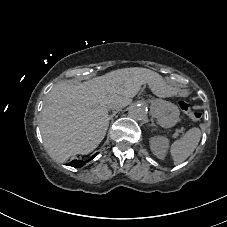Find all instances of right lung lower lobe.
I'll list each match as a JSON object with an SVG mask.
<instances>
[{
    "instance_id": "obj_1",
    "label": "right lung lower lobe",
    "mask_w": 227,
    "mask_h": 227,
    "mask_svg": "<svg viewBox=\"0 0 227 227\" xmlns=\"http://www.w3.org/2000/svg\"><path fill=\"white\" fill-rule=\"evenodd\" d=\"M98 153H96L95 155H93L88 161L92 160ZM88 161H82V160H73L70 163H68L67 165L72 166V167H82L84 166Z\"/></svg>"
}]
</instances>
